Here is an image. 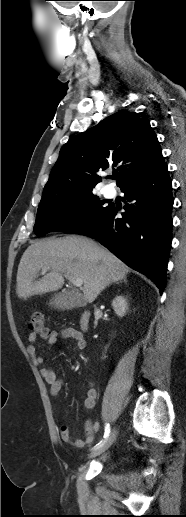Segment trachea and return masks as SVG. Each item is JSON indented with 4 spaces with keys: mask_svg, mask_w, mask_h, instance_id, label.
<instances>
[{
    "mask_svg": "<svg viewBox=\"0 0 186 517\" xmlns=\"http://www.w3.org/2000/svg\"><path fill=\"white\" fill-rule=\"evenodd\" d=\"M111 178H113V179H117V178H118V173H113V175L111 176Z\"/></svg>",
    "mask_w": 186,
    "mask_h": 517,
    "instance_id": "1",
    "label": "trachea"
}]
</instances>
